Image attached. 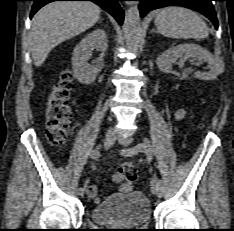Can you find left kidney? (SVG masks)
I'll return each mask as SVG.
<instances>
[{
	"label": "left kidney",
	"mask_w": 234,
	"mask_h": 231,
	"mask_svg": "<svg viewBox=\"0 0 234 231\" xmlns=\"http://www.w3.org/2000/svg\"><path fill=\"white\" fill-rule=\"evenodd\" d=\"M192 57L208 63L209 71H196L194 77L199 80H213L224 71L222 59L212 55L207 49L192 43L180 44L166 50L156 59V64L164 73H171L172 64L181 57Z\"/></svg>",
	"instance_id": "left-kidney-1"
}]
</instances>
